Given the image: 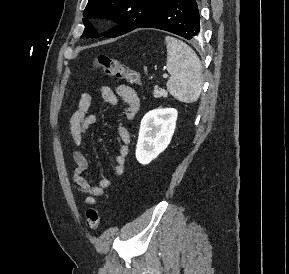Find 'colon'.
<instances>
[{
	"label": "colon",
	"mask_w": 289,
	"mask_h": 274,
	"mask_svg": "<svg viewBox=\"0 0 289 274\" xmlns=\"http://www.w3.org/2000/svg\"><path fill=\"white\" fill-rule=\"evenodd\" d=\"M92 68L101 70L109 76L126 80L131 84H142V77L138 71L132 69L122 61L107 55L97 56L92 63ZM100 221V211L94 207L89 208L85 216L86 227L90 230H96L100 225Z\"/></svg>",
	"instance_id": "colon-1"
}]
</instances>
